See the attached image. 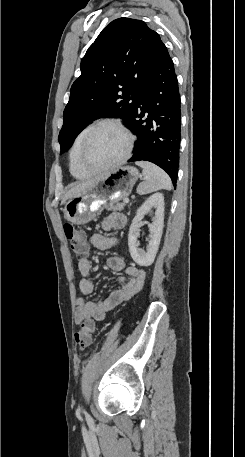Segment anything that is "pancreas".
<instances>
[{
  "label": "pancreas",
  "instance_id": "obj_1",
  "mask_svg": "<svg viewBox=\"0 0 245 457\" xmlns=\"http://www.w3.org/2000/svg\"><path fill=\"white\" fill-rule=\"evenodd\" d=\"M125 204L126 202H108L105 208H107V210H122Z\"/></svg>",
  "mask_w": 245,
  "mask_h": 457
}]
</instances>
